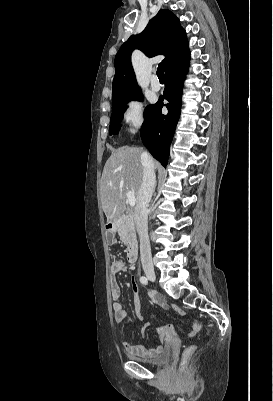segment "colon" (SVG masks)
<instances>
[{"instance_id": "1", "label": "colon", "mask_w": 273, "mask_h": 401, "mask_svg": "<svg viewBox=\"0 0 273 401\" xmlns=\"http://www.w3.org/2000/svg\"><path fill=\"white\" fill-rule=\"evenodd\" d=\"M205 335L207 337H210L212 335V332L210 330H207L205 332ZM200 343L198 340H191L190 343L187 345L186 349L181 350V357L184 358V363H187V358H197L198 357V352L200 350ZM180 378L183 381H189L192 378L191 375V369L187 365H181L180 369Z\"/></svg>"}]
</instances>
